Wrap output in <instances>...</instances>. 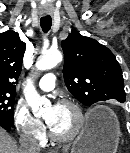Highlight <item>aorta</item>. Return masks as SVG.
<instances>
[{
    "label": "aorta",
    "instance_id": "obj_1",
    "mask_svg": "<svg viewBox=\"0 0 130 153\" xmlns=\"http://www.w3.org/2000/svg\"><path fill=\"white\" fill-rule=\"evenodd\" d=\"M61 61L62 54L59 51H49L38 58L35 66L37 70H49L54 68ZM24 95L34 115H40L50 107V101L46 97L38 94L31 79L27 80Z\"/></svg>",
    "mask_w": 130,
    "mask_h": 153
}]
</instances>
